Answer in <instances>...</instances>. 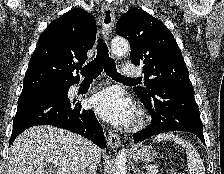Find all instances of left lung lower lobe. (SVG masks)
Segmentation results:
<instances>
[{"label":"left lung lower lobe","instance_id":"1","mask_svg":"<svg viewBox=\"0 0 224 174\" xmlns=\"http://www.w3.org/2000/svg\"><path fill=\"white\" fill-rule=\"evenodd\" d=\"M152 116V123L133 135L135 142L169 131H187L205 144L203 125L193 88L158 87L150 96H138Z\"/></svg>","mask_w":224,"mask_h":174}]
</instances>
